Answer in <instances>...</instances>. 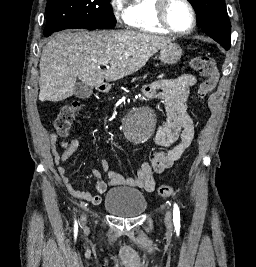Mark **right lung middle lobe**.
I'll use <instances>...</instances> for the list:
<instances>
[{"instance_id": "right-lung-middle-lobe-1", "label": "right lung middle lobe", "mask_w": 256, "mask_h": 267, "mask_svg": "<svg viewBox=\"0 0 256 267\" xmlns=\"http://www.w3.org/2000/svg\"><path fill=\"white\" fill-rule=\"evenodd\" d=\"M110 0H48L44 35L68 28L110 29L115 16Z\"/></svg>"}]
</instances>
